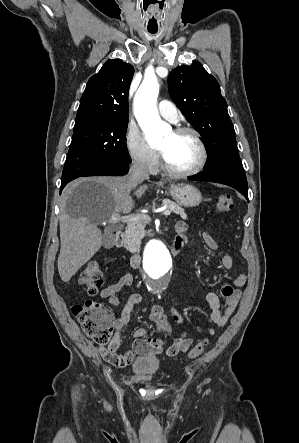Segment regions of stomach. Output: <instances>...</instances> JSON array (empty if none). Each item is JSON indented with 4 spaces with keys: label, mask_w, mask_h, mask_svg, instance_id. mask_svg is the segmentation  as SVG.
<instances>
[{
    "label": "stomach",
    "mask_w": 299,
    "mask_h": 443,
    "mask_svg": "<svg viewBox=\"0 0 299 443\" xmlns=\"http://www.w3.org/2000/svg\"><path fill=\"white\" fill-rule=\"evenodd\" d=\"M169 193L173 199L185 207L198 206L202 201L201 192L189 184L171 185Z\"/></svg>",
    "instance_id": "0dacf381"
}]
</instances>
